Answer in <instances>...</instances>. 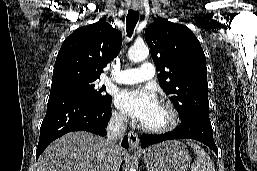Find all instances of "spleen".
Here are the masks:
<instances>
[{
  "mask_svg": "<svg viewBox=\"0 0 257 171\" xmlns=\"http://www.w3.org/2000/svg\"><path fill=\"white\" fill-rule=\"evenodd\" d=\"M188 145L192 147L197 155L191 166V171H215L211 158L200 146L193 142H188Z\"/></svg>",
  "mask_w": 257,
  "mask_h": 171,
  "instance_id": "1",
  "label": "spleen"
}]
</instances>
